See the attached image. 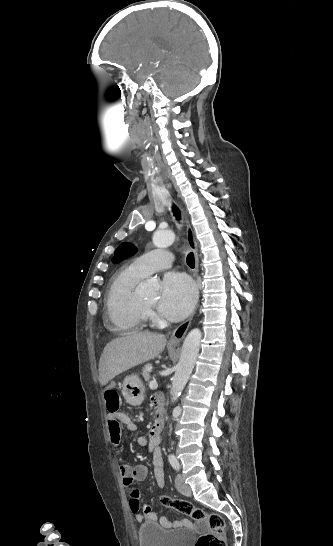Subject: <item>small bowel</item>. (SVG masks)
Instances as JSON below:
<instances>
[{"instance_id": "c3829d8e", "label": "small bowel", "mask_w": 333, "mask_h": 546, "mask_svg": "<svg viewBox=\"0 0 333 546\" xmlns=\"http://www.w3.org/2000/svg\"><path fill=\"white\" fill-rule=\"evenodd\" d=\"M105 392L111 393L113 388L116 387L117 382L115 379L110 378L106 382ZM153 404L155 407L156 415H162V406L163 401L160 396H156L153 398ZM121 424L125 425L128 430L135 431L137 429V425L129 418L128 415L122 412H110L108 411L107 414V426L109 431V436L111 441L114 444H118L120 440V435L117 438V431H121ZM160 439H156L150 434L149 439L139 436L136 439V443L139 446L147 447L149 450L153 451V467H154V479L157 484V486L162 487L164 485L165 477H164V469H163V459H162V453L160 449L156 448L157 444L159 443ZM119 474L123 481L124 486L127 489V492L129 493L131 500L129 502L130 510L135 516V520L138 522H142L145 520H149L152 522H158L163 527H169L171 525L174 526H180L185 521L181 520L175 523H171L166 517H160L156 515L155 512H153L150 505H146L142 510H140V500L138 498V492L134 488V482L135 481H141L144 480L148 474V469L145 465L138 464V465H130V464H121L119 467Z\"/></svg>"}]
</instances>
